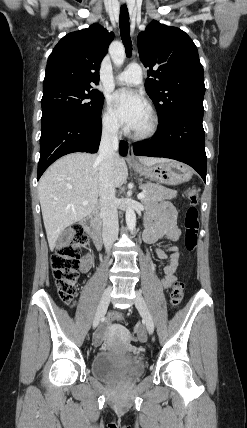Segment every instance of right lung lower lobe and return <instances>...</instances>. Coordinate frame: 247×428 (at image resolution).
<instances>
[{
	"label": "right lung lower lobe",
	"mask_w": 247,
	"mask_h": 428,
	"mask_svg": "<svg viewBox=\"0 0 247 428\" xmlns=\"http://www.w3.org/2000/svg\"><path fill=\"white\" fill-rule=\"evenodd\" d=\"M101 131V117L92 121L64 115L42 119L37 179L39 180L43 172L63 155L72 152H97ZM119 151L122 156H126L127 143L121 142Z\"/></svg>",
	"instance_id": "98d812e1"
}]
</instances>
